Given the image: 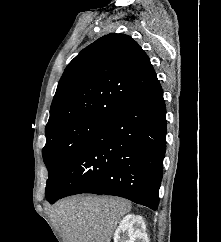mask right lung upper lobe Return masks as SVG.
Returning a JSON list of instances; mask_svg holds the SVG:
<instances>
[{
    "label": "right lung upper lobe",
    "mask_w": 221,
    "mask_h": 242,
    "mask_svg": "<svg viewBox=\"0 0 221 242\" xmlns=\"http://www.w3.org/2000/svg\"><path fill=\"white\" fill-rule=\"evenodd\" d=\"M156 80L148 56L132 37L105 35L66 67L45 131L80 119H105Z\"/></svg>",
    "instance_id": "cb5924a9"
}]
</instances>
